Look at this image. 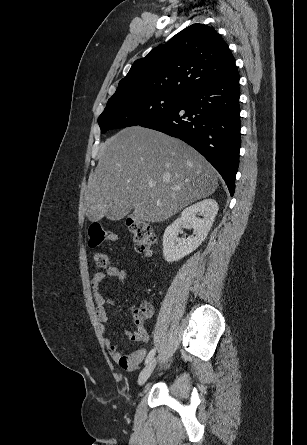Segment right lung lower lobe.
Masks as SVG:
<instances>
[{
    "instance_id": "right-lung-lower-lobe-1",
    "label": "right lung lower lobe",
    "mask_w": 307,
    "mask_h": 445,
    "mask_svg": "<svg viewBox=\"0 0 307 445\" xmlns=\"http://www.w3.org/2000/svg\"><path fill=\"white\" fill-rule=\"evenodd\" d=\"M239 96V74L234 67L187 93L171 111L140 126L194 147L221 174L233 196L240 150Z\"/></svg>"
}]
</instances>
